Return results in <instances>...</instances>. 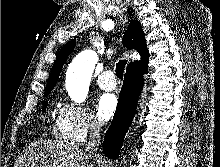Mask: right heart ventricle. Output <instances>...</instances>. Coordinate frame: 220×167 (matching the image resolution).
Returning <instances> with one entry per match:
<instances>
[{
  "label": "right heart ventricle",
  "mask_w": 220,
  "mask_h": 167,
  "mask_svg": "<svg viewBox=\"0 0 220 167\" xmlns=\"http://www.w3.org/2000/svg\"><path fill=\"white\" fill-rule=\"evenodd\" d=\"M53 134L56 138H58L62 142H70L67 136L59 127L58 122H57V126L53 128Z\"/></svg>",
  "instance_id": "obj_1"
}]
</instances>
